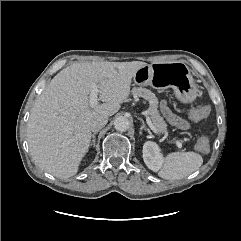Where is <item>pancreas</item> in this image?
<instances>
[{"label":"pancreas","instance_id":"cf45deb5","mask_svg":"<svg viewBox=\"0 0 241 241\" xmlns=\"http://www.w3.org/2000/svg\"><path fill=\"white\" fill-rule=\"evenodd\" d=\"M132 95L134 98H144L149 102L148 116L151 119L153 125L159 133L167 132V124L158 110V98L155 94L146 88L135 87L132 89Z\"/></svg>","mask_w":241,"mask_h":241}]
</instances>
